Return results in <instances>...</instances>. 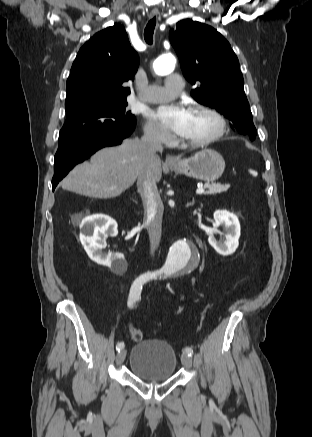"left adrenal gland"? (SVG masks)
Listing matches in <instances>:
<instances>
[{"mask_svg": "<svg viewBox=\"0 0 312 437\" xmlns=\"http://www.w3.org/2000/svg\"><path fill=\"white\" fill-rule=\"evenodd\" d=\"M193 204H194V201H192L191 203H188V204H187V207H188V206H192Z\"/></svg>", "mask_w": 312, "mask_h": 437, "instance_id": "a2214340", "label": "left adrenal gland"}]
</instances>
